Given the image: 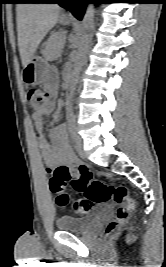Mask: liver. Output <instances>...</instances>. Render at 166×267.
I'll return each instance as SVG.
<instances>
[{"instance_id":"obj_1","label":"liver","mask_w":166,"mask_h":267,"mask_svg":"<svg viewBox=\"0 0 166 267\" xmlns=\"http://www.w3.org/2000/svg\"><path fill=\"white\" fill-rule=\"evenodd\" d=\"M16 12L19 53L25 67L46 34L56 25L60 7L55 4L20 3Z\"/></svg>"}]
</instances>
